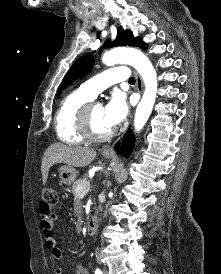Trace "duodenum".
<instances>
[{
  "mask_svg": "<svg viewBox=\"0 0 221 274\" xmlns=\"http://www.w3.org/2000/svg\"><path fill=\"white\" fill-rule=\"evenodd\" d=\"M98 225H99L98 217L95 214L91 215L86 225L87 235H94L97 232Z\"/></svg>",
  "mask_w": 221,
  "mask_h": 274,
  "instance_id": "duodenum-1",
  "label": "duodenum"
}]
</instances>
